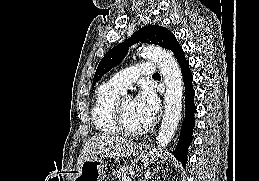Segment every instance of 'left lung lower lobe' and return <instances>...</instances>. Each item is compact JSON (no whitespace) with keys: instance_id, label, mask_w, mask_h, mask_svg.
<instances>
[{"instance_id":"1","label":"left lung lower lobe","mask_w":259,"mask_h":181,"mask_svg":"<svg viewBox=\"0 0 259 181\" xmlns=\"http://www.w3.org/2000/svg\"><path fill=\"white\" fill-rule=\"evenodd\" d=\"M169 50L173 52L180 64L185 86V118L181 127L179 142L173 151L175 157L185 166L187 162V149L192 141V132L195 126L194 113L196 111V106L194 104V90L192 87L193 76L189 69V62L186 60L179 43L176 42Z\"/></svg>"}]
</instances>
